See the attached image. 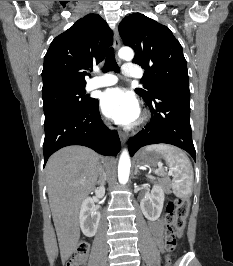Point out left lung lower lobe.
<instances>
[{
  "label": "left lung lower lobe",
  "instance_id": "0a47b994",
  "mask_svg": "<svg viewBox=\"0 0 233 266\" xmlns=\"http://www.w3.org/2000/svg\"><path fill=\"white\" fill-rule=\"evenodd\" d=\"M152 118L149 126L129 139L130 155L141 147L167 143L187 151L195 160V148L190 126V91L187 87H178L163 91L151 101Z\"/></svg>",
  "mask_w": 233,
  "mask_h": 266
}]
</instances>
